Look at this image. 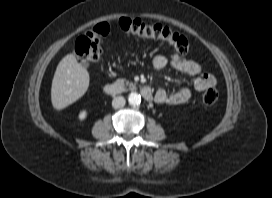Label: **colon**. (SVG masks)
<instances>
[{"label":"colon","mask_w":272,"mask_h":198,"mask_svg":"<svg viewBox=\"0 0 272 198\" xmlns=\"http://www.w3.org/2000/svg\"><path fill=\"white\" fill-rule=\"evenodd\" d=\"M118 28L130 35L141 38L162 40L171 45L179 53H187L189 43L187 38L161 24H148L138 18L123 17L118 21ZM110 32V25L101 22L93 26L86 33L80 36L74 44V53L82 61L95 63L102 53L101 40ZM218 99L217 91L207 88L202 96L203 104L206 107H213Z\"/></svg>","instance_id":"colon-1"}]
</instances>
